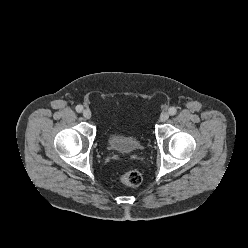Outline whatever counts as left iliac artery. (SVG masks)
Here are the masks:
<instances>
[{
    "label": "left iliac artery",
    "instance_id": "1",
    "mask_svg": "<svg viewBox=\"0 0 248 248\" xmlns=\"http://www.w3.org/2000/svg\"><path fill=\"white\" fill-rule=\"evenodd\" d=\"M168 112H169L170 115L173 116V115H175L177 113V110H176L175 107H171V108H169Z\"/></svg>",
    "mask_w": 248,
    "mask_h": 248
}]
</instances>
